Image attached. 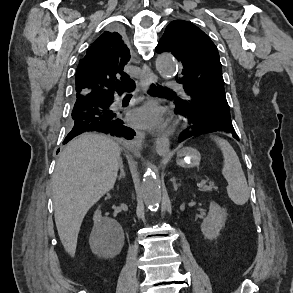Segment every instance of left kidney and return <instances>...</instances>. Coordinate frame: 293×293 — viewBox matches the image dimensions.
<instances>
[{"label":"left kidney","mask_w":293,"mask_h":293,"mask_svg":"<svg viewBox=\"0 0 293 293\" xmlns=\"http://www.w3.org/2000/svg\"><path fill=\"white\" fill-rule=\"evenodd\" d=\"M225 211L217 203L211 202L207 217L201 224V231L205 238L216 239L225 226Z\"/></svg>","instance_id":"1"}]
</instances>
